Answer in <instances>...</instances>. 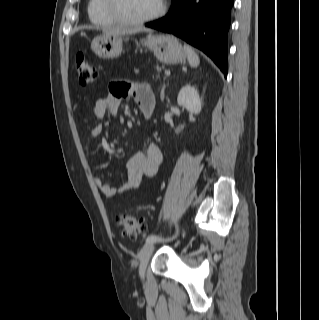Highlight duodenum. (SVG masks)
<instances>
[{
	"label": "duodenum",
	"instance_id": "obj_1",
	"mask_svg": "<svg viewBox=\"0 0 319 320\" xmlns=\"http://www.w3.org/2000/svg\"><path fill=\"white\" fill-rule=\"evenodd\" d=\"M143 113H144L145 115H147V116L150 115L149 111H147V110H144Z\"/></svg>",
	"mask_w": 319,
	"mask_h": 320
}]
</instances>
